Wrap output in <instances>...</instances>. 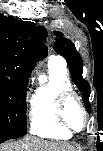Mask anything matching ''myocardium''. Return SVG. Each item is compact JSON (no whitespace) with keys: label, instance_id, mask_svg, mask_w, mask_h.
Wrapping results in <instances>:
<instances>
[{"label":"myocardium","instance_id":"f54148a6","mask_svg":"<svg viewBox=\"0 0 103 151\" xmlns=\"http://www.w3.org/2000/svg\"><path fill=\"white\" fill-rule=\"evenodd\" d=\"M71 99H74L79 104V106L83 112L84 123H83V126L81 129H76L67 120L66 106H67V103ZM55 116H56L57 122L70 133H79V132H82L83 130H85L87 127V124H88V119H89L88 111L85 107L84 102L82 101L81 97L73 90H66L59 94V96L57 98V102H56Z\"/></svg>","mask_w":103,"mask_h":151}]
</instances>
